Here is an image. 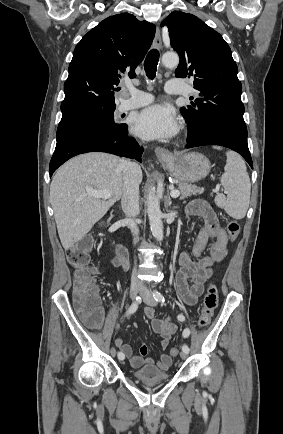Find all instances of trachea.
I'll list each match as a JSON object with an SVG mask.
<instances>
[{
  "label": "trachea",
  "mask_w": 283,
  "mask_h": 434,
  "mask_svg": "<svg viewBox=\"0 0 283 434\" xmlns=\"http://www.w3.org/2000/svg\"><path fill=\"white\" fill-rule=\"evenodd\" d=\"M158 61H159L158 50L156 49L150 50L144 61V69L149 79L155 78Z\"/></svg>",
  "instance_id": "obj_1"
}]
</instances>
